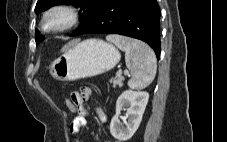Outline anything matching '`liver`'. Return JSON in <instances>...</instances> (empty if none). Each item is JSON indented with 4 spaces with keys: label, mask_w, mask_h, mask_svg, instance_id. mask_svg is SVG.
<instances>
[{
    "label": "liver",
    "mask_w": 227,
    "mask_h": 142,
    "mask_svg": "<svg viewBox=\"0 0 227 142\" xmlns=\"http://www.w3.org/2000/svg\"><path fill=\"white\" fill-rule=\"evenodd\" d=\"M75 42H77V41H71V42H69L68 44H66V45L61 49V51H65L69 46H71V45L74 44Z\"/></svg>",
    "instance_id": "obj_1"
}]
</instances>
